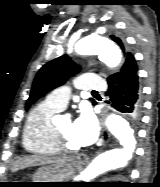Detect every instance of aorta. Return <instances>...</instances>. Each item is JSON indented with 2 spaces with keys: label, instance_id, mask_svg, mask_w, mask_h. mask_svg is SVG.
Instances as JSON below:
<instances>
[{
  "label": "aorta",
  "instance_id": "obj_1",
  "mask_svg": "<svg viewBox=\"0 0 160 187\" xmlns=\"http://www.w3.org/2000/svg\"><path fill=\"white\" fill-rule=\"evenodd\" d=\"M75 48L80 55H98L110 68L117 67L121 62V51L104 35H88L80 39ZM106 126L118 140L119 146L101 153L89 164L81 174L84 182H89L106 171L125 167L132 157L136 135L128 121L122 116L112 114L108 116Z\"/></svg>",
  "mask_w": 160,
  "mask_h": 187
}]
</instances>
